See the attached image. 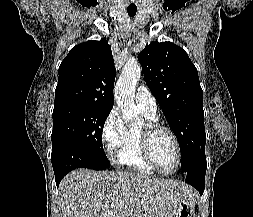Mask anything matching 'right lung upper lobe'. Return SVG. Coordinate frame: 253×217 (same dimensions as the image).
Instances as JSON below:
<instances>
[{"instance_id":"right-lung-upper-lobe-1","label":"right lung upper lobe","mask_w":253,"mask_h":217,"mask_svg":"<svg viewBox=\"0 0 253 217\" xmlns=\"http://www.w3.org/2000/svg\"><path fill=\"white\" fill-rule=\"evenodd\" d=\"M116 69L107 40L73 47L59 67L55 105L84 103L112 108Z\"/></svg>"}]
</instances>
